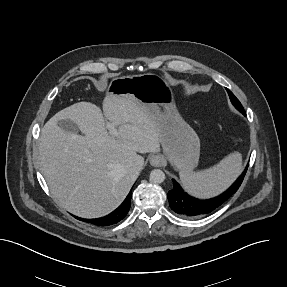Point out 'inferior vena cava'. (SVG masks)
<instances>
[{
	"mask_svg": "<svg viewBox=\"0 0 287 287\" xmlns=\"http://www.w3.org/2000/svg\"><path fill=\"white\" fill-rule=\"evenodd\" d=\"M143 165H144V159L142 156H137L136 159L134 160V162L132 163V168L135 170V171H138L140 172L143 168Z\"/></svg>",
	"mask_w": 287,
	"mask_h": 287,
	"instance_id": "602c4592",
	"label": "inferior vena cava"
}]
</instances>
